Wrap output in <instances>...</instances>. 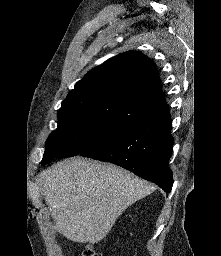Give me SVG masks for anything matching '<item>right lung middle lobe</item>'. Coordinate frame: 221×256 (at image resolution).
<instances>
[{
	"label": "right lung middle lobe",
	"mask_w": 221,
	"mask_h": 256,
	"mask_svg": "<svg viewBox=\"0 0 221 256\" xmlns=\"http://www.w3.org/2000/svg\"><path fill=\"white\" fill-rule=\"evenodd\" d=\"M58 128L46 142L41 164L79 155L105 138L144 121L117 106H98L58 112Z\"/></svg>",
	"instance_id": "1"
}]
</instances>
